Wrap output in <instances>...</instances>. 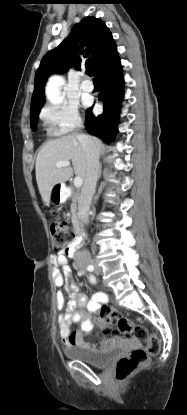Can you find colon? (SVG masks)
Segmentation results:
<instances>
[{
	"instance_id": "obj_1",
	"label": "colon",
	"mask_w": 187,
	"mask_h": 415,
	"mask_svg": "<svg viewBox=\"0 0 187 415\" xmlns=\"http://www.w3.org/2000/svg\"><path fill=\"white\" fill-rule=\"evenodd\" d=\"M50 232L53 250L57 253H69L76 241L74 229L64 220H54L50 225ZM95 313L97 323L106 333L121 334L141 343V346L133 348L127 356L118 360L115 369L117 379L125 380L145 365L151 355L159 353V339L151 335L145 326L133 323L107 305L99 306Z\"/></svg>"
}]
</instances>
